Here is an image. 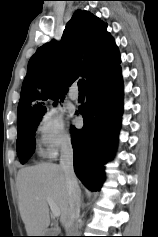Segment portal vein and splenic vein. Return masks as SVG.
Segmentation results:
<instances>
[{
  "instance_id": "obj_1",
  "label": "portal vein and splenic vein",
  "mask_w": 158,
  "mask_h": 237,
  "mask_svg": "<svg viewBox=\"0 0 158 237\" xmlns=\"http://www.w3.org/2000/svg\"><path fill=\"white\" fill-rule=\"evenodd\" d=\"M47 202L50 206L52 215L56 218H58L60 216V210L59 208L56 206V204L54 203V201L52 200V198H47Z\"/></svg>"
}]
</instances>
